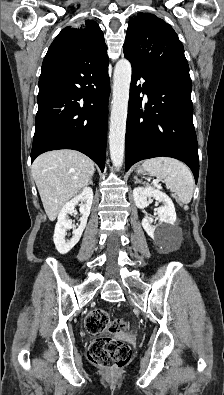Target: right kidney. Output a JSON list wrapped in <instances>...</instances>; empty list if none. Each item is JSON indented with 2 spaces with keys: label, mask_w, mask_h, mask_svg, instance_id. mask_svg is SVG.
<instances>
[{
  "label": "right kidney",
  "mask_w": 224,
  "mask_h": 395,
  "mask_svg": "<svg viewBox=\"0 0 224 395\" xmlns=\"http://www.w3.org/2000/svg\"><path fill=\"white\" fill-rule=\"evenodd\" d=\"M92 202L93 191L90 187H85L80 194L67 202L60 211L53 236L55 247L60 254H67L80 240L87 225V219L90 214ZM78 204L82 215L80 218V224L73 230L72 238L66 241V230L73 228L72 221L68 219V214L74 213L75 206Z\"/></svg>",
  "instance_id": "obj_1"
}]
</instances>
